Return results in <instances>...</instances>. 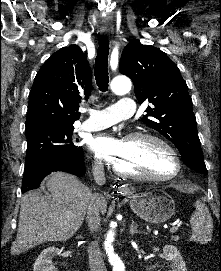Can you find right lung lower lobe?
<instances>
[{"mask_svg":"<svg viewBox=\"0 0 221 271\" xmlns=\"http://www.w3.org/2000/svg\"><path fill=\"white\" fill-rule=\"evenodd\" d=\"M65 171L81 175L85 171L83 150L64 158H48L25 164L22 193L36 189L50 172Z\"/></svg>","mask_w":221,"mask_h":271,"instance_id":"98d812e1","label":"right lung lower lobe"}]
</instances>
